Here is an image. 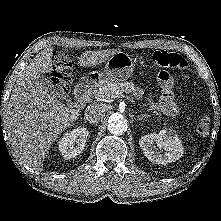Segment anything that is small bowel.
I'll use <instances>...</instances> for the list:
<instances>
[{
    "instance_id": "small-bowel-1",
    "label": "small bowel",
    "mask_w": 221,
    "mask_h": 221,
    "mask_svg": "<svg viewBox=\"0 0 221 221\" xmlns=\"http://www.w3.org/2000/svg\"><path fill=\"white\" fill-rule=\"evenodd\" d=\"M137 94L138 95L141 94L140 89H137ZM149 103H150V106L153 110L161 111V112H163L167 115H171V116L175 115L178 110L177 104L174 99V95L171 91H165L162 94L159 104H155L151 100L149 101Z\"/></svg>"
}]
</instances>
